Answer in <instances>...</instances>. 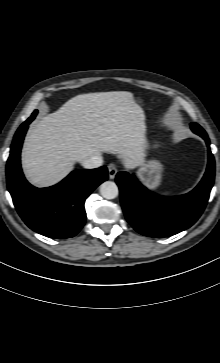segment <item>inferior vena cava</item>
Returning a JSON list of instances; mask_svg holds the SVG:
<instances>
[{"instance_id": "inferior-vena-cava-1", "label": "inferior vena cava", "mask_w": 220, "mask_h": 363, "mask_svg": "<svg viewBox=\"0 0 220 363\" xmlns=\"http://www.w3.org/2000/svg\"><path fill=\"white\" fill-rule=\"evenodd\" d=\"M103 158L102 156H92L82 162V165L86 169H93L102 166Z\"/></svg>"}]
</instances>
